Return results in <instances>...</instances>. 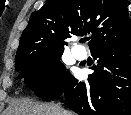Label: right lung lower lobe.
<instances>
[{"label": "right lung lower lobe", "instance_id": "right-lung-lower-lobe-1", "mask_svg": "<svg viewBox=\"0 0 131 115\" xmlns=\"http://www.w3.org/2000/svg\"><path fill=\"white\" fill-rule=\"evenodd\" d=\"M87 82L74 77L62 93L67 106L79 115H131V40L101 47Z\"/></svg>", "mask_w": 131, "mask_h": 115}]
</instances>
